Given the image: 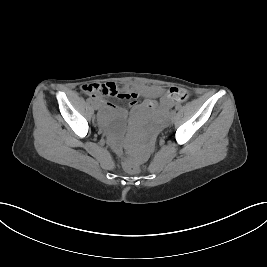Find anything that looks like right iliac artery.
<instances>
[{"label": "right iliac artery", "instance_id": "obj_1", "mask_svg": "<svg viewBox=\"0 0 267 267\" xmlns=\"http://www.w3.org/2000/svg\"><path fill=\"white\" fill-rule=\"evenodd\" d=\"M87 101H88L89 103H94L93 100H92L91 98H88Z\"/></svg>", "mask_w": 267, "mask_h": 267}]
</instances>
